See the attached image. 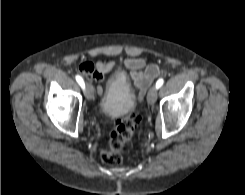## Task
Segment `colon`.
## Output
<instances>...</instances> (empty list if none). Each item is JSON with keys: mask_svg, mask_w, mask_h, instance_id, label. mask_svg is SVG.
<instances>
[{"mask_svg": "<svg viewBox=\"0 0 245 195\" xmlns=\"http://www.w3.org/2000/svg\"><path fill=\"white\" fill-rule=\"evenodd\" d=\"M140 123L137 114L118 120L109 135L106 147L101 150L100 157L108 165H118L122 162L125 152V142L131 138Z\"/></svg>", "mask_w": 245, "mask_h": 195, "instance_id": "colon-1", "label": "colon"}]
</instances>
